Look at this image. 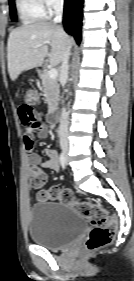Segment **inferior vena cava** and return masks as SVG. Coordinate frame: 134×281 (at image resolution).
Segmentation results:
<instances>
[{"label":"inferior vena cava","mask_w":134,"mask_h":281,"mask_svg":"<svg viewBox=\"0 0 134 281\" xmlns=\"http://www.w3.org/2000/svg\"><path fill=\"white\" fill-rule=\"evenodd\" d=\"M55 18L53 20L54 24L61 23L63 17V0H55L54 2ZM71 46L68 45L64 53L61 70H60V81L65 84L68 78L69 69V56H70ZM60 144L63 148L68 146V113L66 109L63 108L60 116V125L58 130Z\"/></svg>","instance_id":"inferior-vena-cava-1"}]
</instances>
